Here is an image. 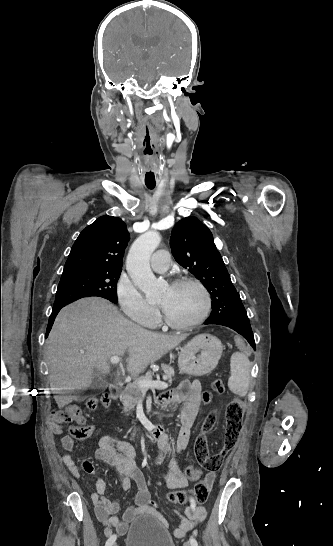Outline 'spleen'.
<instances>
[{
  "label": "spleen",
  "instance_id": "3e777b00",
  "mask_svg": "<svg viewBox=\"0 0 333 546\" xmlns=\"http://www.w3.org/2000/svg\"><path fill=\"white\" fill-rule=\"evenodd\" d=\"M231 375L228 380L229 389L239 395L246 396L251 380V365L248 357L242 352H235L230 359Z\"/></svg>",
  "mask_w": 333,
  "mask_h": 546
}]
</instances>
